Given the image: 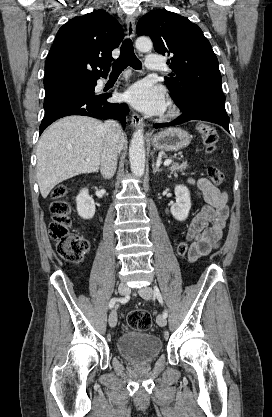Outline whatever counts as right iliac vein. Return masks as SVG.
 Here are the masks:
<instances>
[{"label": "right iliac vein", "mask_w": 272, "mask_h": 417, "mask_svg": "<svg viewBox=\"0 0 272 417\" xmlns=\"http://www.w3.org/2000/svg\"><path fill=\"white\" fill-rule=\"evenodd\" d=\"M118 292L121 294V295H128L129 293H130V288H129V286L128 285H126L125 283H121L119 286H118ZM116 324H117V312H116V310L115 309H113L111 312H110V314H109V325L111 326V327H115L116 326Z\"/></svg>", "instance_id": "1"}]
</instances>
